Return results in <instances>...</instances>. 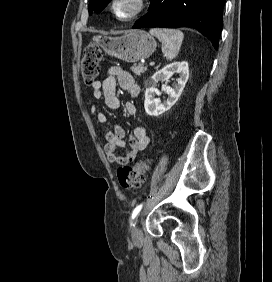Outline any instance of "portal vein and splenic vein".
Returning <instances> with one entry per match:
<instances>
[{
	"label": "portal vein and splenic vein",
	"mask_w": 272,
	"mask_h": 282,
	"mask_svg": "<svg viewBox=\"0 0 272 282\" xmlns=\"http://www.w3.org/2000/svg\"><path fill=\"white\" fill-rule=\"evenodd\" d=\"M155 63L152 61V62H150V66H153Z\"/></svg>",
	"instance_id": "obj_1"
}]
</instances>
